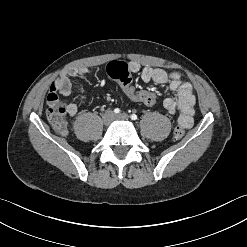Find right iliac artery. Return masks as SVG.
Here are the masks:
<instances>
[{
  "mask_svg": "<svg viewBox=\"0 0 247 247\" xmlns=\"http://www.w3.org/2000/svg\"><path fill=\"white\" fill-rule=\"evenodd\" d=\"M120 109L119 108H116L115 110H114V113H116V114H120Z\"/></svg>",
  "mask_w": 247,
  "mask_h": 247,
  "instance_id": "1",
  "label": "right iliac artery"
}]
</instances>
